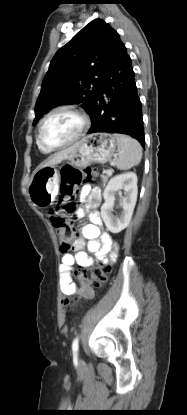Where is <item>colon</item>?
<instances>
[{"mask_svg": "<svg viewBox=\"0 0 187 415\" xmlns=\"http://www.w3.org/2000/svg\"><path fill=\"white\" fill-rule=\"evenodd\" d=\"M95 180L96 173L91 168L79 170L69 166L62 172L60 195L62 201L66 202L63 203L61 209L53 210L49 214L50 221L57 232L62 251L70 248L75 237L72 217L75 208L72 200L76 197L79 188L84 183H92ZM109 271L110 267L106 264L79 268L75 275L81 283L82 296L86 299H91L94 295V289H99L105 284ZM63 303L68 308L74 306V301L71 299H65Z\"/></svg>", "mask_w": 187, "mask_h": 415, "instance_id": "colon-1", "label": "colon"}]
</instances>
